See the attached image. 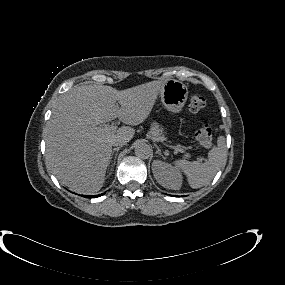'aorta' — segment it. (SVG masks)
Wrapping results in <instances>:
<instances>
[{"label": "aorta", "instance_id": "obj_1", "mask_svg": "<svg viewBox=\"0 0 285 285\" xmlns=\"http://www.w3.org/2000/svg\"><path fill=\"white\" fill-rule=\"evenodd\" d=\"M135 155L141 159H148L151 155V148L144 142H138L135 146Z\"/></svg>", "mask_w": 285, "mask_h": 285}]
</instances>
